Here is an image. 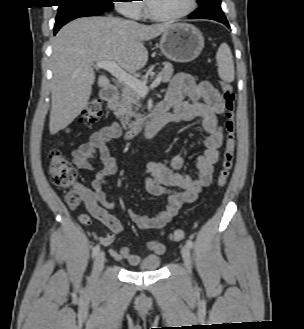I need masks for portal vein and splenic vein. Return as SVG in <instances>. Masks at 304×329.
<instances>
[{
  "instance_id": "1",
  "label": "portal vein and splenic vein",
  "mask_w": 304,
  "mask_h": 329,
  "mask_svg": "<svg viewBox=\"0 0 304 329\" xmlns=\"http://www.w3.org/2000/svg\"><path fill=\"white\" fill-rule=\"evenodd\" d=\"M95 68H101L110 72L114 77H116L123 84L130 86L139 95H147L149 89H153L158 86L161 82V76H158L150 85L146 86V83L137 79L133 75L124 71L119 65L114 61H99L94 65Z\"/></svg>"
}]
</instances>
